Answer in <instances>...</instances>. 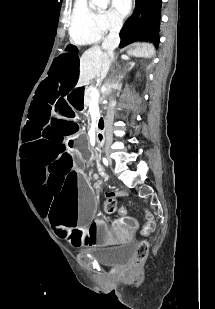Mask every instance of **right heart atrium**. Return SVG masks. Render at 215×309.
Here are the masks:
<instances>
[{
  "label": "right heart atrium",
  "mask_w": 215,
  "mask_h": 309,
  "mask_svg": "<svg viewBox=\"0 0 215 309\" xmlns=\"http://www.w3.org/2000/svg\"><path fill=\"white\" fill-rule=\"evenodd\" d=\"M99 24L102 29H109L111 31H117L121 26V21L115 18L114 14L104 12L98 15Z\"/></svg>",
  "instance_id": "d8ad5b80"
}]
</instances>
